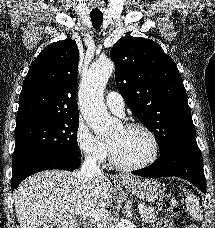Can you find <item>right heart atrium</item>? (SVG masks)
<instances>
[{
	"label": "right heart atrium",
	"mask_w": 215,
	"mask_h": 228,
	"mask_svg": "<svg viewBox=\"0 0 215 228\" xmlns=\"http://www.w3.org/2000/svg\"><path fill=\"white\" fill-rule=\"evenodd\" d=\"M73 136L75 146L84 160L94 164L105 162L109 155L108 146L94 135L83 119L78 120Z\"/></svg>",
	"instance_id": "right-heart-atrium-1"
}]
</instances>
